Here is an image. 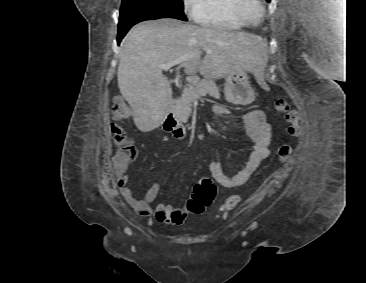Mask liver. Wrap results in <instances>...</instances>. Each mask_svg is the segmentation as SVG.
I'll return each instance as SVG.
<instances>
[{
	"instance_id": "1",
	"label": "liver",
	"mask_w": 366,
	"mask_h": 283,
	"mask_svg": "<svg viewBox=\"0 0 366 283\" xmlns=\"http://www.w3.org/2000/svg\"><path fill=\"white\" fill-rule=\"evenodd\" d=\"M201 50L206 51L203 59ZM177 59L186 74L199 72L212 79L244 70L262 80L266 64L263 41L257 35L174 18L135 25L121 43L117 78L120 93L142 132L154 130L167 117L172 89L160 65Z\"/></svg>"
}]
</instances>
